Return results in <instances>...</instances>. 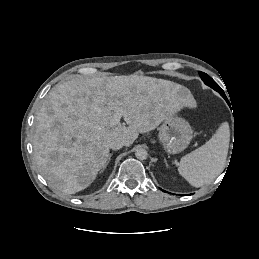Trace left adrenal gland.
Instances as JSON below:
<instances>
[{
  "label": "left adrenal gland",
  "mask_w": 259,
  "mask_h": 259,
  "mask_svg": "<svg viewBox=\"0 0 259 259\" xmlns=\"http://www.w3.org/2000/svg\"><path fill=\"white\" fill-rule=\"evenodd\" d=\"M164 162H165L166 167H168V163H167L166 158H164Z\"/></svg>",
  "instance_id": "obj_1"
}]
</instances>
